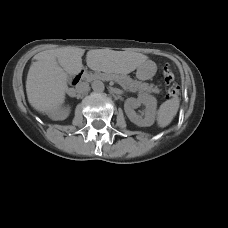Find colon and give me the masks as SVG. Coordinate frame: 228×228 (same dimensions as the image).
Masks as SVG:
<instances>
[{
	"label": "colon",
	"mask_w": 228,
	"mask_h": 228,
	"mask_svg": "<svg viewBox=\"0 0 228 228\" xmlns=\"http://www.w3.org/2000/svg\"><path fill=\"white\" fill-rule=\"evenodd\" d=\"M163 75L166 85H170L168 88V95L170 97L177 96L180 91V86L177 83H174V73L168 64L163 67Z\"/></svg>",
	"instance_id": "1"
}]
</instances>
